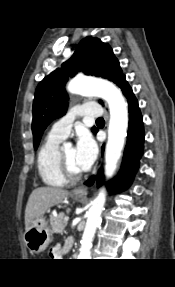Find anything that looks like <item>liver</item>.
Instances as JSON below:
<instances>
[{
    "mask_svg": "<svg viewBox=\"0 0 175 287\" xmlns=\"http://www.w3.org/2000/svg\"><path fill=\"white\" fill-rule=\"evenodd\" d=\"M69 192L56 187H39L32 191L25 209V229H28L33 220L42 218L45 212L62 202Z\"/></svg>",
    "mask_w": 175,
    "mask_h": 287,
    "instance_id": "1",
    "label": "liver"
}]
</instances>
